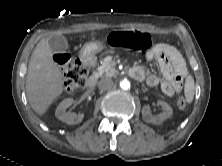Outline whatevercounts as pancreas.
<instances>
[{
    "mask_svg": "<svg viewBox=\"0 0 222 166\" xmlns=\"http://www.w3.org/2000/svg\"><path fill=\"white\" fill-rule=\"evenodd\" d=\"M115 65L116 62L112 56H107L101 62V65L97 68V73L100 76L111 77L115 74Z\"/></svg>",
    "mask_w": 222,
    "mask_h": 166,
    "instance_id": "cf45deb5",
    "label": "pancreas"
}]
</instances>
